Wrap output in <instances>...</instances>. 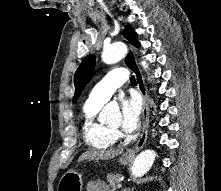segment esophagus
<instances>
[{
  "instance_id": "34e87169",
  "label": "esophagus",
  "mask_w": 221,
  "mask_h": 191,
  "mask_svg": "<svg viewBox=\"0 0 221 191\" xmlns=\"http://www.w3.org/2000/svg\"><path fill=\"white\" fill-rule=\"evenodd\" d=\"M125 63L128 67H130L135 75L138 90L143 98V109H142V132L140 134L139 139L137 140L134 148L128 152V155L134 156L137 152H139L146 143L148 128H149V97L147 94L144 78L140 67L137 63V59L132 47H129L128 54L125 58Z\"/></svg>"
}]
</instances>
